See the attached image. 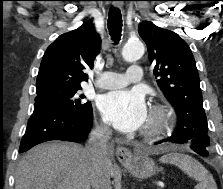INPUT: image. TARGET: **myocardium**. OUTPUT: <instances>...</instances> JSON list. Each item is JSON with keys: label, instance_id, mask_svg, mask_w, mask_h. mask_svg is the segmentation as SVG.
Here are the masks:
<instances>
[{"label": "myocardium", "instance_id": "obj_1", "mask_svg": "<svg viewBox=\"0 0 223 189\" xmlns=\"http://www.w3.org/2000/svg\"><path fill=\"white\" fill-rule=\"evenodd\" d=\"M175 118L171 108L163 103H153L149 110L148 123L142 130L147 138H153L163 134L172 128Z\"/></svg>", "mask_w": 223, "mask_h": 189}]
</instances>
